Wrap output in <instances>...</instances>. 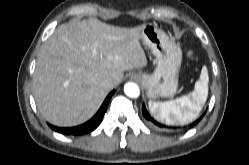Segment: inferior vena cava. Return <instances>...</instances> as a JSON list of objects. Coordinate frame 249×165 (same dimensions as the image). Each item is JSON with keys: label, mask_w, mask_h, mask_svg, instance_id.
Masks as SVG:
<instances>
[{"label": "inferior vena cava", "mask_w": 249, "mask_h": 165, "mask_svg": "<svg viewBox=\"0 0 249 165\" xmlns=\"http://www.w3.org/2000/svg\"><path fill=\"white\" fill-rule=\"evenodd\" d=\"M101 84L104 88H112L114 86L113 80L109 78L104 79Z\"/></svg>", "instance_id": "1"}]
</instances>
